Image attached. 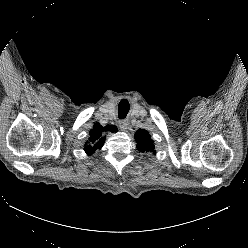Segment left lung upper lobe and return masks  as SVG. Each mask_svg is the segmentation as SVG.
I'll return each instance as SVG.
<instances>
[{
  "instance_id": "5c2ea615",
  "label": "left lung upper lobe",
  "mask_w": 248,
  "mask_h": 248,
  "mask_svg": "<svg viewBox=\"0 0 248 248\" xmlns=\"http://www.w3.org/2000/svg\"><path fill=\"white\" fill-rule=\"evenodd\" d=\"M135 140L139 151L156 153L154 150V141L146 130L139 129L135 134Z\"/></svg>"
}]
</instances>
